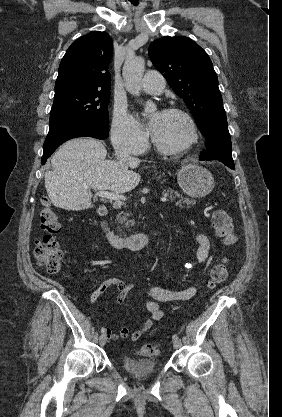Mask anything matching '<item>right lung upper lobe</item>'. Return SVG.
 I'll list each match as a JSON object with an SVG mask.
<instances>
[{
	"label": "right lung upper lobe",
	"instance_id": "right-lung-upper-lobe-1",
	"mask_svg": "<svg viewBox=\"0 0 282 417\" xmlns=\"http://www.w3.org/2000/svg\"><path fill=\"white\" fill-rule=\"evenodd\" d=\"M113 42L106 32L93 31L74 41L59 66L55 92L72 89L107 90Z\"/></svg>",
	"mask_w": 282,
	"mask_h": 417
}]
</instances>
